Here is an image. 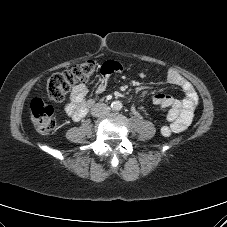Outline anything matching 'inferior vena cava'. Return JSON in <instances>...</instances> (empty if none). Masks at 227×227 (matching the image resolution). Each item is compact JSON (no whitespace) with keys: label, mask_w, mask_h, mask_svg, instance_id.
Wrapping results in <instances>:
<instances>
[{"label":"inferior vena cava","mask_w":227,"mask_h":227,"mask_svg":"<svg viewBox=\"0 0 227 227\" xmlns=\"http://www.w3.org/2000/svg\"><path fill=\"white\" fill-rule=\"evenodd\" d=\"M109 112H110L109 106H107L104 103H97L92 108V114L97 117L104 116V115L108 114Z\"/></svg>","instance_id":"602c4592"}]
</instances>
